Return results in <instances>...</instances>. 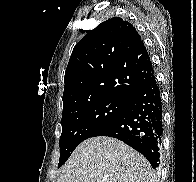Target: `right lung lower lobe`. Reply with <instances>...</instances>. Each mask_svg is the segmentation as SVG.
<instances>
[{
  "label": "right lung lower lobe",
  "instance_id": "right-lung-lower-lobe-1",
  "mask_svg": "<svg viewBox=\"0 0 196 182\" xmlns=\"http://www.w3.org/2000/svg\"><path fill=\"white\" fill-rule=\"evenodd\" d=\"M163 134L160 90L153 74L131 97L127 107L91 137L110 136L128 144L158 167Z\"/></svg>",
  "mask_w": 196,
  "mask_h": 182
}]
</instances>
